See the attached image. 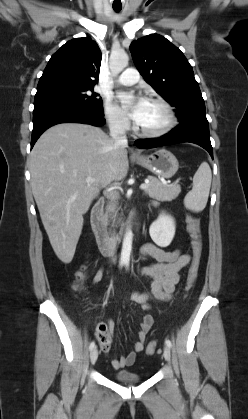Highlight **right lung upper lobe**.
<instances>
[{
  "label": "right lung upper lobe",
  "mask_w": 248,
  "mask_h": 419,
  "mask_svg": "<svg viewBox=\"0 0 248 419\" xmlns=\"http://www.w3.org/2000/svg\"><path fill=\"white\" fill-rule=\"evenodd\" d=\"M101 51L92 39L76 38L64 44L49 60L37 92L65 87H94L101 65Z\"/></svg>",
  "instance_id": "cb5924a9"
}]
</instances>
